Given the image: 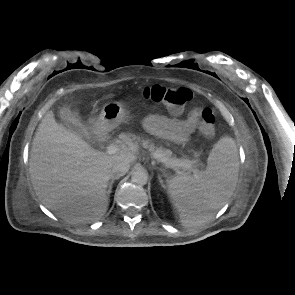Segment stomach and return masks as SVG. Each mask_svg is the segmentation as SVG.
I'll use <instances>...</instances> for the list:
<instances>
[{
    "label": "stomach",
    "instance_id": "stomach-1",
    "mask_svg": "<svg viewBox=\"0 0 295 295\" xmlns=\"http://www.w3.org/2000/svg\"><path fill=\"white\" fill-rule=\"evenodd\" d=\"M128 119V113L120 103H107L103 106L99 117L93 122L92 127L97 132L106 133L116 128Z\"/></svg>",
    "mask_w": 295,
    "mask_h": 295
}]
</instances>
